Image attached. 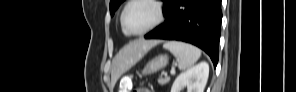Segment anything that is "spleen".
<instances>
[{"instance_id": "spleen-1", "label": "spleen", "mask_w": 296, "mask_h": 92, "mask_svg": "<svg viewBox=\"0 0 296 92\" xmlns=\"http://www.w3.org/2000/svg\"><path fill=\"white\" fill-rule=\"evenodd\" d=\"M163 47L177 58L180 70L193 66L201 56V51L197 47L179 41H167Z\"/></svg>"}]
</instances>
